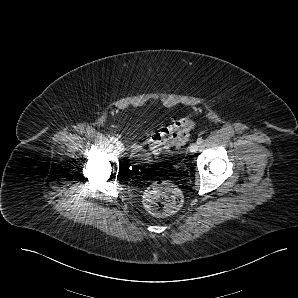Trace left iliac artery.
<instances>
[{
  "label": "left iliac artery",
  "instance_id": "44dca946",
  "mask_svg": "<svg viewBox=\"0 0 298 298\" xmlns=\"http://www.w3.org/2000/svg\"><path fill=\"white\" fill-rule=\"evenodd\" d=\"M197 143H198V144L203 143V139H202V138H198V139H197Z\"/></svg>",
  "mask_w": 298,
  "mask_h": 298
}]
</instances>
